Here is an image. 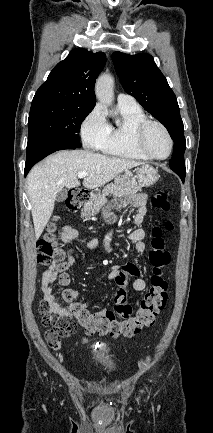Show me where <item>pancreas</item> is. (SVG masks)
<instances>
[{"mask_svg": "<svg viewBox=\"0 0 213 433\" xmlns=\"http://www.w3.org/2000/svg\"><path fill=\"white\" fill-rule=\"evenodd\" d=\"M141 191V185L127 176H118L115 178L114 183L106 185L99 194L90 202L85 204L84 211L81 214L82 218H88L98 214L100 209L107 203V196H127L135 195Z\"/></svg>", "mask_w": 213, "mask_h": 433, "instance_id": "obj_1", "label": "pancreas"}]
</instances>
